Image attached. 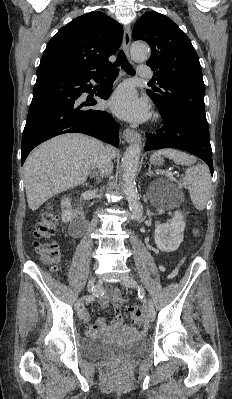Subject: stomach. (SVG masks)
I'll use <instances>...</instances> for the list:
<instances>
[{
  "label": "stomach",
  "mask_w": 232,
  "mask_h": 399,
  "mask_svg": "<svg viewBox=\"0 0 232 399\" xmlns=\"http://www.w3.org/2000/svg\"><path fill=\"white\" fill-rule=\"evenodd\" d=\"M151 162L152 164H158V166H160V164L163 162V158H161V156H157V154H153Z\"/></svg>",
  "instance_id": "0dacf381"
}]
</instances>
